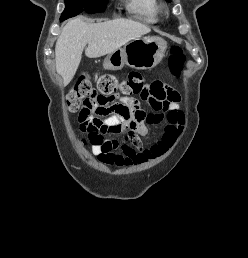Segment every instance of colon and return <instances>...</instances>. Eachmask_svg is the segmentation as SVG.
<instances>
[{
    "label": "colon",
    "mask_w": 248,
    "mask_h": 258,
    "mask_svg": "<svg viewBox=\"0 0 248 258\" xmlns=\"http://www.w3.org/2000/svg\"><path fill=\"white\" fill-rule=\"evenodd\" d=\"M185 62L186 58L181 47L173 46L168 59V67L174 77H180ZM155 92L156 88L153 84L149 89L144 87V80L138 73H132L121 81L114 75L108 74L98 79L96 88L92 87L87 78L78 80L66 98V105L70 112H77L82 108L88 118L91 113L98 112L99 108L110 101L117 93L126 96L140 95L144 99L149 94L154 95ZM111 110L123 116L128 115V109L121 105L115 106ZM88 120L92 121L93 124L89 125L84 132L88 134L91 143L101 142L105 128H100L95 124V122H100L99 120H90L89 118Z\"/></svg>",
    "instance_id": "obj_1"
}]
</instances>
